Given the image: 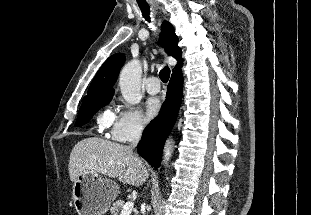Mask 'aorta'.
Instances as JSON below:
<instances>
[{"mask_svg":"<svg viewBox=\"0 0 311 215\" xmlns=\"http://www.w3.org/2000/svg\"><path fill=\"white\" fill-rule=\"evenodd\" d=\"M141 75L142 67L138 60L128 62L121 70L119 86L124 100L130 105H136L141 101ZM173 140L168 139L163 151V162L170 160L173 153Z\"/></svg>","mask_w":311,"mask_h":215,"instance_id":"aorta-1","label":"aorta"}]
</instances>
